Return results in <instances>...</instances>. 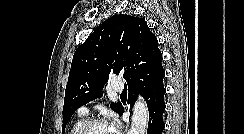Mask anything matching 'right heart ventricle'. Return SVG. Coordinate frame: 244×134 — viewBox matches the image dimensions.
Listing matches in <instances>:
<instances>
[{
    "mask_svg": "<svg viewBox=\"0 0 244 134\" xmlns=\"http://www.w3.org/2000/svg\"><path fill=\"white\" fill-rule=\"evenodd\" d=\"M84 122V118L80 117L78 118L70 127L68 134H76V131L78 128L82 125Z\"/></svg>",
    "mask_w": 244,
    "mask_h": 134,
    "instance_id": "1",
    "label": "right heart ventricle"
}]
</instances>
